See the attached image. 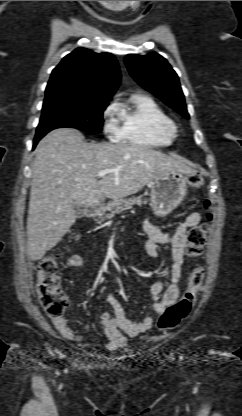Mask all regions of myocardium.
<instances>
[{
	"instance_id": "f54148a6",
	"label": "myocardium",
	"mask_w": 242,
	"mask_h": 416,
	"mask_svg": "<svg viewBox=\"0 0 242 416\" xmlns=\"http://www.w3.org/2000/svg\"><path fill=\"white\" fill-rule=\"evenodd\" d=\"M167 128L172 134L175 135L177 133V126L174 122L169 121L167 124Z\"/></svg>"
}]
</instances>
